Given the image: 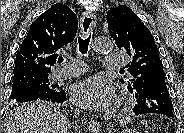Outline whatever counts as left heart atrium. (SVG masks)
I'll use <instances>...</instances> for the list:
<instances>
[{
    "instance_id": "39dd6f15",
    "label": "left heart atrium",
    "mask_w": 184,
    "mask_h": 133,
    "mask_svg": "<svg viewBox=\"0 0 184 133\" xmlns=\"http://www.w3.org/2000/svg\"><path fill=\"white\" fill-rule=\"evenodd\" d=\"M72 98L80 107L99 111L111 104L113 93L98 78H88L73 86Z\"/></svg>"
}]
</instances>
